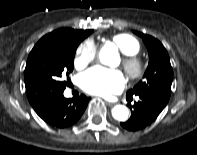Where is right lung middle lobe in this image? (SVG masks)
I'll return each instance as SVG.
<instances>
[{
  "label": "right lung middle lobe",
  "mask_w": 197,
  "mask_h": 155,
  "mask_svg": "<svg viewBox=\"0 0 197 155\" xmlns=\"http://www.w3.org/2000/svg\"><path fill=\"white\" fill-rule=\"evenodd\" d=\"M84 39L71 33L51 32L36 43L24 72L26 94L32 107L64 91L67 82L61 78L72 72L76 49Z\"/></svg>",
  "instance_id": "right-lung-middle-lobe-1"
}]
</instances>
